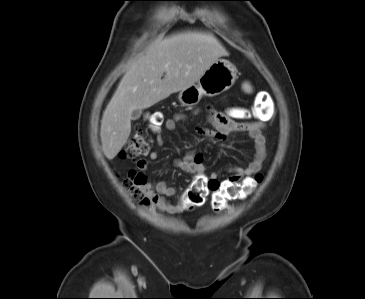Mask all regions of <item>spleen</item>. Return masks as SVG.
I'll return each mask as SVG.
<instances>
[{
  "instance_id": "spleen-1",
  "label": "spleen",
  "mask_w": 365,
  "mask_h": 299,
  "mask_svg": "<svg viewBox=\"0 0 365 299\" xmlns=\"http://www.w3.org/2000/svg\"><path fill=\"white\" fill-rule=\"evenodd\" d=\"M245 89H246L247 92H251V87L250 86L246 85Z\"/></svg>"
}]
</instances>
